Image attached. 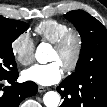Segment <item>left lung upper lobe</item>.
Returning a JSON list of instances; mask_svg holds the SVG:
<instances>
[{"mask_svg":"<svg viewBox=\"0 0 107 107\" xmlns=\"http://www.w3.org/2000/svg\"><path fill=\"white\" fill-rule=\"evenodd\" d=\"M64 16L75 25L82 38L76 71L64 80L76 88L73 95L67 96L68 107H83L85 90L80 87L81 83L98 76L107 78V30L81 10L70 11Z\"/></svg>","mask_w":107,"mask_h":107,"instance_id":"5c2ea615","label":"left lung upper lobe"}]
</instances>
